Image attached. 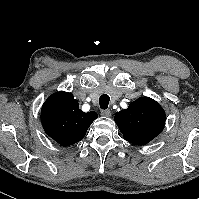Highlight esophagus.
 I'll return each mask as SVG.
<instances>
[{"instance_id":"1","label":"esophagus","mask_w":199,"mask_h":199,"mask_svg":"<svg viewBox=\"0 0 199 199\" xmlns=\"http://www.w3.org/2000/svg\"><path fill=\"white\" fill-rule=\"evenodd\" d=\"M101 115L105 116V117H109V116H111V111L109 109L102 110Z\"/></svg>"}]
</instances>
